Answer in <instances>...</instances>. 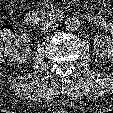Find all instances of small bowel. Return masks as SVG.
<instances>
[{"mask_svg": "<svg viewBox=\"0 0 113 113\" xmlns=\"http://www.w3.org/2000/svg\"><path fill=\"white\" fill-rule=\"evenodd\" d=\"M89 19L99 28L111 33L113 35V18L102 14H94Z\"/></svg>", "mask_w": 113, "mask_h": 113, "instance_id": "obj_1", "label": "small bowel"}]
</instances>
